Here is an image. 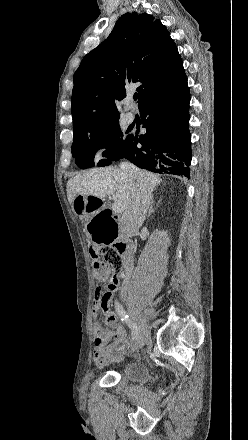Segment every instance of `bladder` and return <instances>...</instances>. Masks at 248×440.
<instances>
[{
	"instance_id": "1",
	"label": "bladder",
	"mask_w": 248,
	"mask_h": 440,
	"mask_svg": "<svg viewBox=\"0 0 248 440\" xmlns=\"http://www.w3.org/2000/svg\"><path fill=\"white\" fill-rule=\"evenodd\" d=\"M148 375V367L140 362L128 363L118 371V377L124 383L138 382L145 379Z\"/></svg>"
}]
</instances>
